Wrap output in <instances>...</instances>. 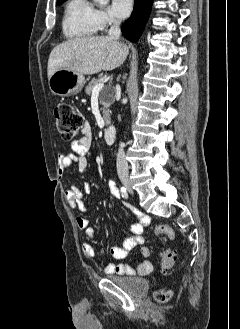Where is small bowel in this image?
<instances>
[{
  "label": "small bowel",
  "instance_id": "1",
  "mask_svg": "<svg viewBox=\"0 0 240 329\" xmlns=\"http://www.w3.org/2000/svg\"><path fill=\"white\" fill-rule=\"evenodd\" d=\"M91 144L92 128L90 123L86 121L81 129V137L71 143L72 152L69 154H58L57 173L60 179H64L66 177L67 170L72 165H76L80 173H86L88 171L89 157L91 156ZM107 185L111 195L114 198H119L120 194L114 182L108 181ZM91 189V184L88 182L84 183L82 188L74 185L66 190L65 197L71 208L77 209L82 213V215H79L76 218V225L78 229L83 231L88 238V240L83 243L82 252L87 260L93 262L95 255L94 242L96 233L95 230L89 226V220L85 216L87 209L83 202L84 194L89 193ZM132 210L138 219V222L132 224L130 227V232L132 235L125 239L121 245L112 247L110 252L115 259H123L128 256L133 248L140 245V255L143 258V261L135 268L125 263H102L101 267L107 274L144 276L148 275L153 270V264L147 260L150 250L147 246L143 245L144 226L149 222V218L135 209Z\"/></svg>",
  "mask_w": 240,
  "mask_h": 329
}]
</instances>
